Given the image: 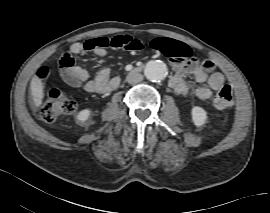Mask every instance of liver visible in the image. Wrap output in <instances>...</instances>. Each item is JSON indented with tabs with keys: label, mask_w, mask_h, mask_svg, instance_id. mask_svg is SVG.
<instances>
[{
	"label": "liver",
	"mask_w": 270,
	"mask_h": 213,
	"mask_svg": "<svg viewBox=\"0 0 270 213\" xmlns=\"http://www.w3.org/2000/svg\"><path fill=\"white\" fill-rule=\"evenodd\" d=\"M33 102L36 107H40L44 98V86L40 78L33 77L30 83Z\"/></svg>",
	"instance_id": "6515ba94"
}]
</instances>
